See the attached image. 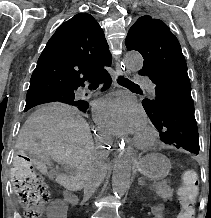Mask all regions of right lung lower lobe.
Listing matches in <instances>:
<instances>
[{"label":"right lung lower lobe","mask_w":211,"mask_h":218,"mask_svg":"<svg viewBox=\"0 0 211 218\" xmlns=\"http://www.w3.org/2000/svg\"><path fill=\"white\" fill-rule=\"evenodd\" d=\"M107 66H110V65H107ZM90 81H96V82L104 83V86H103L102 90H106L110 86V84L112 82L110 75L108 74V72L104 68L95 77L90 79ZM84 85H85L84 82L81 83V84H78V85L74 86L70 90V92H74L75 90L78 89V87L84 86Z\"/></svg>","instance_id":"obj_1"}]
</instances>
